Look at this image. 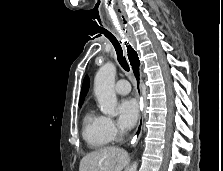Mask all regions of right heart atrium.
<instances>
[{"label": "right heart atrium", "mask_w": 223, "mask_h": 171, "mask_svg": "<svg viewBox=\"0 0 223 171\" xmlns=\"http://www.w3.org/2000/svg\"><path fill=\"white\" fill-rule=\"evenodd\" d=\"M104 126L111 139H114L118 135L119 130L112 118L104 117Z\"/></svg>", "instance_id": "1"}]
</instances>
